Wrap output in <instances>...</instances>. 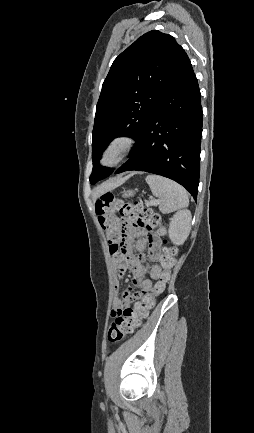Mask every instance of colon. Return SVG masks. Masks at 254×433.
<instances>
[{
  "label": "colon",
  "mask_w": 254,
  "mask_h": 433,
  "mask_svg": "<svg viewBox=\"0 0 254 433\" xmlns=\"http://www.w3.org/2000/svg\"><path fill=\"white\" fill-rule=\"evenodd\" d=\"M96 211L113 257L125 255L130 229L156 228L160 235L165 233L158 214L153 213L139 202L116 198L110 192L102 194L97 199ZM115 211L119 212L120 218L115 216ZM176 254L175 247H165L159 257L163 272L151 292L143 295L133 308L130 307L133 299L129 298L128 302L112 313L113 319L107 335L110 343L123 341L140 326L142 319L147 317L149 310L155 305L156 298L163 292L165 283L169 280L176 262Z\"/></svg>",
  "instance_id": "colon-1"
}]
</instances>
